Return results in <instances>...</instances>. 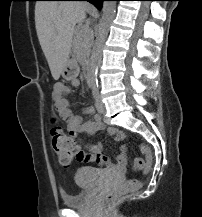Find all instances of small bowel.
<instances>
[{"mask_svg":"<svg viewBox=\"0 0 202 217\" xmlns=\"http://www.w3.org/2000/svg\"><path fill=\"white\" fill-rule=\"evenodd\" d=\"M79 83L77 78L72 80L74 86H78ZM69 93V87L63 83L58 82L54 85V107L58 116L65 123V128L69 135L75 137L81 133L92 134L102 130L104 126L101 117L96 114L93 107L83 109L85 115L91 116L90 119H83L81 116L75 115L72 112L67 99ZM107 132L109 135L114 136L116 140H121L124 136L123 132L113 127L108 128ZM80 160L87 163H96L102 171L118 175L125 174L128 164L125 147H122L121 151L115 156V159L112 160L103 154V144L101 143L89 145L88 152H85V155Z\"/></svg>","mask_w":202,"mask_h":217,"instance_id":"small-bowel-1","label":"small bowel"}]
</instances>
